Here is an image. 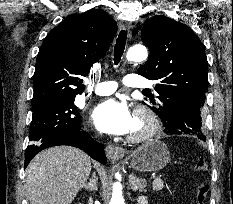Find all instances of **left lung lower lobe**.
I'll return each instance as SVG.
<instances>
[{"mask_svg": "<svg viewBox=\"0 0 233 204\" xmlns=\"http://www.w3.org/2000/svg\"><path fill=\"white\" fill-rule=\"evenodd\" d=\"M205 102L204 97L188 94L177 95L170 99L163 107V113L158 115L164 123V132L170 135H179L185 131H193L199 139L206 141L200 131L201 108Z\"/></svg>", "mask_w": 233, "mask_h": 204, "instance_id": "left-lung-lower-lobe-1", "label": "left lung lower lobe"}]
</instances>
